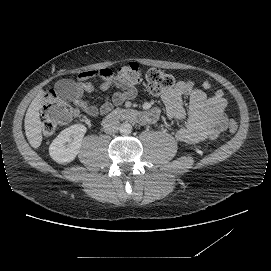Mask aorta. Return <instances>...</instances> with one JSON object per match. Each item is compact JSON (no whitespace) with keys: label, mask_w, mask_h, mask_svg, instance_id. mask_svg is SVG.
Returning <instances> with one entry per match:
<instances>
[{"label":"aorta","mask_w":271,"mask_h":271,"mask_svg":"<svg viewBox=\"0 0 271 271\" xmlns=\"http://www.w3.org/2000/svg\"><path fill=\"white\" fill-rule=\"evenodd\" d=\"M120 133L124 136L132 133V125L128 122H124L120 126Z\"/></svg>","instance_id":"obj_1"}]
</instances>
